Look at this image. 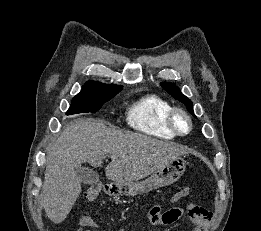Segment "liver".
I'll return each mask as SVG.
<instances>
[{"instance_id": "6515ba94", "label": "liver", "mask_w": 261, "mask_h": 231, "mask_svg": "<svg viewBox=\"0 0 261 231\" xmlns=\"http://www.w3.org/2000/svg\"><path fill=\"white\" fill-rule=\"evenodd\" d=\"M188 150L146 135L110 129L94 119H78L61 132L47 152L43 206L48 218L65 220L81 193L75 168L82 163L100 167L108 156L106 177L117 183L138 181Z\"/></svg>"}]
</instances>
